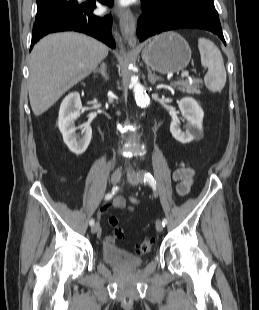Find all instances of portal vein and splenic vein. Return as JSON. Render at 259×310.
<instances>
[{
    "label": "portal vein and splenic vein",
    "mask_w": 259,
    "mask_h": 310,
    "mask_svg": "<svg viewBox=\"0 0 259 310\" xmlns=\"http://www.w3.org/2000/svg\"><path fill=\"white\" fill-rule=\"evenodd\" d=\"M181 77H182V78L189 77V72H188V71H184V72L181 74Z\"/></svg>",
    "instance_id": "obj_1"
}]
</instances>
